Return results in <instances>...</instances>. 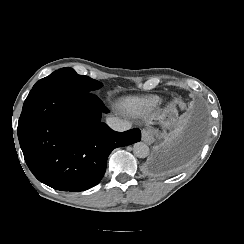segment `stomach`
<instances>
[{
    "label": "stomach",
    "instance_id": "obj_1",
    "mask_svg": "<svg viewBox=\"0 0 244 244\" xmlns=\"http://www.w3.org/2000/svg\"><path fill=\"white\" fill-rule=\"evenodd\" d=\"M164 134L171 132L178 120V111L174 102L168 104L158 116Z\"/></svg>",
    "mask_w": 244,
    "mask_h": 244
}]
</instances>
